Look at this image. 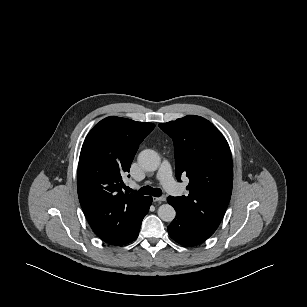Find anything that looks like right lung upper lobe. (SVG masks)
<instances>
[{
    "instance_id": "cb5924a9",
    "label": "right lung upper lobe",
    "mask_w": 307,
    "mask_h": 307,
    "mask_svg": "<svg viewBox=\"0 0 307 307\" xmlns=\"http://www.w3.org/2000/svg\"><path fill=\"white\" fill-rule=\"evenodd\" d=\"M154 127L110 116L85 138L78 165V197L91 228L105 242H131L147 213L148 197L123 193L122 176L129 172L140 143Z\"/></svg>"
}]
</instances>
